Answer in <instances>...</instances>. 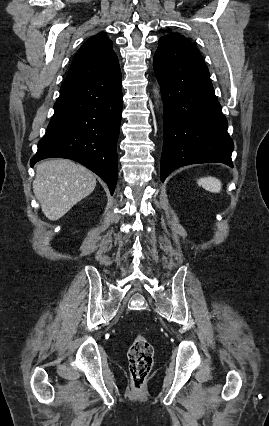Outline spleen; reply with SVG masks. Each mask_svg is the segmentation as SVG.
I'll return each mask as SVG.
<instances>
[{"label": "spleen", "mask_w": 269, "mask_h": 426, "mask_svg": "<svg viewBox=\"0 0 269 426\" xmlns=\"http://www.w3.org/2000/svg\"><path fill=\"white\" fill-rule=\"evenodd\" d=\"M197 183L202 186L205 190L212 193H219L222 190V183L215 177H204L200 178Z\"/></svg>", "instance_id": "3e777b00"}]
</instances>
